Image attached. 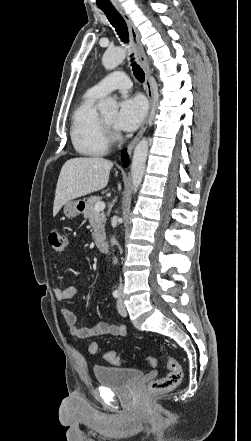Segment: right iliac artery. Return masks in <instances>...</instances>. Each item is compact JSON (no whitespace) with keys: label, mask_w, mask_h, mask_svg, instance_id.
Masks as SVG:
<instances>
[{"label":"right iliac artery","mask_w":251,"mask_h":441,"mask_svg":"<svg viewBox=\"0 0 251 441\" xmlns=\"http://www.w3.org/2000/svg\"><path fill=\"white\" fill-rule=\"evenodd\" d=\"M120 296V292H119V290H114L113 291V297L114 298H118Z\"/></svg>","instance_id":"obj_1"}]
</instances>
